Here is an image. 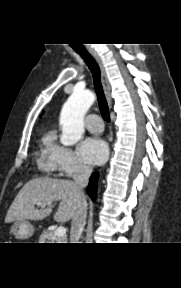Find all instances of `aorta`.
Wrapping results in <instances>:
<instances>
[{
	"label": "aorta",
	"mask_w": 181,
	"mask_h": 288,
	"mask_svg": "<svg viewBox=\"0 0 181 288\" xmlns=\"http://www.w3.org/2000/svg\"><path fill=\"white\" fill-rule=\"evenodd\" d=\"M94 100V94L88 90H74L68 98L60 114V141L63 145H74L81 139L84 133V116Z\"/></svg>",
	"instance_id": "762f6f07"
}]
</instances>
